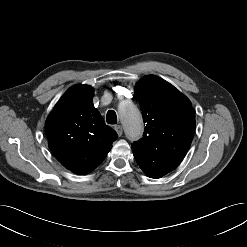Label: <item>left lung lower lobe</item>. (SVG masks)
Here are the masks:
<instances>
[{"mask_svg":"<svg viewBox=\"0 0 247 247\" xmlns=\"http://www.w3.org/2000/svg\"><path fill=\"white\" fill-rule=\"evenodd\" d=\"M174 169L175 168H173L171 166H161V167H157L155 169L144 170V172L147 174V176H149L151 178H160Z\"/></svg>","mask_w":247,"mask_h":247,"instance_id":"obj_1","label":"left lung lower lobe"}]
</instances>
